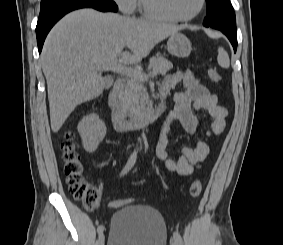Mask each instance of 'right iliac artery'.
Instances as JSON below:
<instances>
[{"mask_svg":"<svg viewBox=\"0 0 283 245\" xmlns=\"http://www.w3.org/2000/svg\"><path fill=\"white\" fill-rule=\"evenodd\" d=\"M136 159H137V152L134 151L131 154L130 158L128 159L124 169L121 171L120 177L125 175L134 166ZM104 229H105V227L103 225H100V226H98L97 231L100 234V233H103Z\"/></svg>","mask_w":283,"mask_h":245,"instance_id":"right-iliac-artery-1","label":"right iliac artery"}]
</instances>
